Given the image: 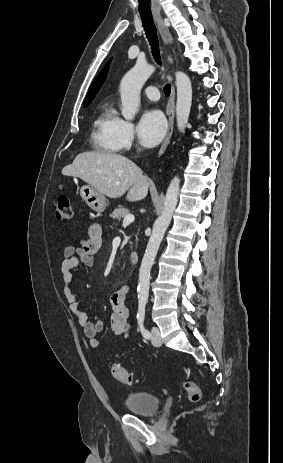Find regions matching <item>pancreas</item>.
<instances>
[{
	"label": "pancreas",
	"mask_w": 283,
	"mask_h": 463,
	"mask_svg": "<svg viewBox=\"0 0 283 463\" xmlns=\"http://www.w3.org/2000/svg\"><path fill=\"white\" fill-rule=\"evenodd\" d=\"M130 213L129 209L127 208H123L122 206H119L117 209H115L112 214H111V217L113 219H118V220H121L122 218H124L126 215H128Z\"/></svg>",
	"instance_id": "pancreas-1"
}]
</instances>
